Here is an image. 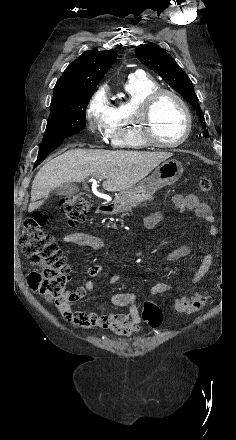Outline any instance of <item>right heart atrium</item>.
I'll return each instance as SVG.
<instances>
[{
    "label": "right heart atrium",
    "mask_w": 236,
    "mask_h": 440,
    "mask_svg": "<svg viewBox=\"0 0 236 440\" xmlns=\"http://www.w3.org/2000/svg\"><path fill=\"white\" fill-rule=\"evenodd\" d=\"M112 106L108 101L106 88L100 87L91 96L85 111L88 130L95 136L107 140L110 132Z\"/></svg>",
    "instance_id": "obj_1"
}]
</instances>
